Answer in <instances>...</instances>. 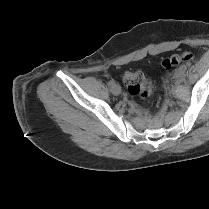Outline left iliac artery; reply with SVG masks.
Listing matches in <instances>:
<instances>
[{
    "mask_svg": "<svg viewBox=\"0 0 209 209\" xmlns=\"http://www.w3.org/2000/svg\"><path fill=\"white\" fill-rule=\"evenodd\" d=\"M181 70L183 71V72H185L186 71V69H187V67H186V65L185 64H183V65H181Z\"/></svg>",
    "mask_w": 209,
    "mask_h": 209,
    "instance_id": "left-iliac-artery-1",
    "label": "left iliac artery"
}]
</instances>
